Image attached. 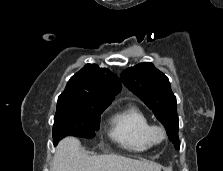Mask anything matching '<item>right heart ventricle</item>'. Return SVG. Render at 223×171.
<instances>
[{
	"instance_id": "1",
	"label": "right heart ventricle",
	"mask_w": 223,
	"mask_h": 171,
	"mask_svg": "<svg viewBox=\"0 0 223 171\" xmlns=\"http://www.w3.org/2000/svg\"><path fill=\"white\" fill-rule=\"evenodd\" d=\"M109 136L123 148L143 152L151 148L147 130L148 117L136 106L129 105L111 115Z\"/></svg>"
}]
</instances>
